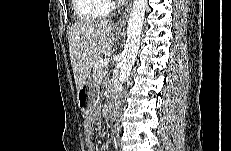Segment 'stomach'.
I'll use <instances>...</instances> for the list:
<instances>
[{
	"mask_svg": "<svg viewBox=\"0 0 231 151\" xmlns=\"http://www.w3.org/2000/svg\"><path fill=\"white\" fill-rule=\"evenodd\" d=\"M116 33L118 35L120 34L118 31ZM99 97L100 87L98 83L89 76L77 91V100L80 110L86 115L92 113L97 106Z\"/></svg>",
	"mask_w": 231,
	"mask_h": 151,
	"instance_id": "0dacf381",
	"label": "stomach"
}]
</instances>
